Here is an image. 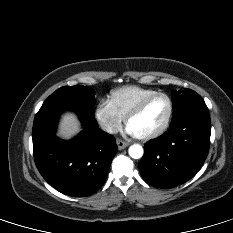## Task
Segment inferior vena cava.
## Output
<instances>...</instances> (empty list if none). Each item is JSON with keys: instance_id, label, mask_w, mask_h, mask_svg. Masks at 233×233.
Wrapping results in <instances>:
<instances>
[{"instance_id": "obj_1", "label": "inferior vena cava", "mask_w": 233, "mask_h": 233, "mask_svg": "<svg viewBox=\"0 0 233 233\" xmlns=\"http://www.w3.org/2000/svg\"><path fill=\"white\" fill-rule=\"evenodd\" d=\"M101 128L104 131H106L107 133H110V134H116V133H118V129L116 127H113V126L109 125V124H103L101 126Z\"/></svg>"}]
</instances>
